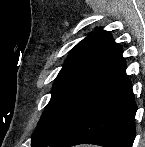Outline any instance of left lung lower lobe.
<instances>
[{
    "mask_svg": "<svg viewBox=\"0 0 145 147\" xmlns=\"http://www.w3.org/2000/svg\"><path fill=\"white\" fill-rule=\"evenodd\" d=\"M137 110L125 61L118 44L89 87L66 130L43 147L97 144L131 147L135 139Z\"/></svg>",
    "mask_w": 145,
    "mask_h": 147,
    "instance_id": "1",
    "label": "left lung lower lobe"
}]
</instances>
